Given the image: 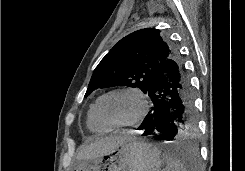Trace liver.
Segmentation results:
<instances>
[{
    "mask_svg": "<svg viewBox=\"0 0 245 171\" xmlns=\"http://www.w3.org/2000/svg\"><path fill=\"white\" fill-rule=\"evenodd\" d=\"M129 134L123 133L120 135H113L100 138L84 146L77 154V160H92L99 156L114 150L117 146L125 140L130 139Z\"/></svg>",
    "mask_w": 245,
    "mask_h": 171,
    "instance_id": "liver-1",
    "label": "liver"
}]
</instances>
